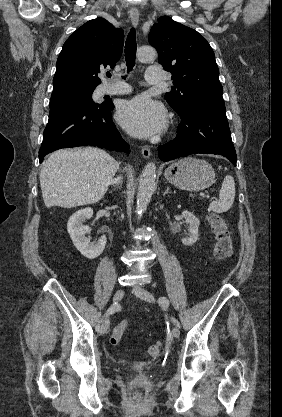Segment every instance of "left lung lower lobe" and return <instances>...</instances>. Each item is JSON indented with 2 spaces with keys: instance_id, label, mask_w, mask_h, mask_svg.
Instances as JSON below:
<instances>
[{
  "instance_id": "left-lung-lower-lobe-1",
  "label": "left lung lower lobe",
  "mask_w": 282,
  "mask_h": 417,
  "mask_svg": "<svg viewBox=\"0 0 282 417\" xmlns=\"http://www.w3.org/2000/svg\"><path fill=\"white\" fill-rule=\"evenodd\" d=\"M182 123L175 140L159 146L158 155L166 162L190 154H218L236 166V152L222 96L201 94L176 111Z\"/></svg>"
}]
</instances>
